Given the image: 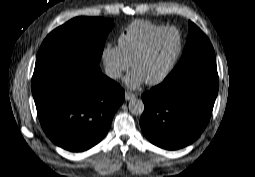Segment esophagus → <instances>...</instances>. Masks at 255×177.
<instances>
[{"label":"esophagus","instance_id":"34e87169","mask_svg":"<svg viewBox=\"0 0 255 177\" xmlns=\"http://www.w3.org/2000/svg\"><path fill=\"white\" fill-rule=\"evenodd\" d=\"M136 95L134 93H131V92H126L125 93V100L128 101V100H131L132 98H134Z\"/></svg>","mask_w":255,"mask_h":177}]
</instances>
